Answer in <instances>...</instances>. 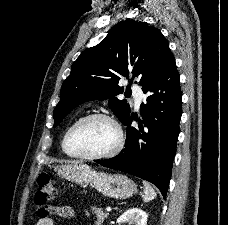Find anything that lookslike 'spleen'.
<instances>
[{
	"instance_id": "spleen-1",
	"label": "spleen",
	"mask_w": 228,
	"mask_h": 225,
	"mask_svg": "<svg viewBox=\"0 0 228 225\" xmlns=\"http://www.w3.org/2000/svg\"><path fill=\"white\" fill-rule=\"evenodd\" d=\"M144 185V195L142 197L144 203H149V201H153L155 197H157L154 189H152L151 185L147 183V181H143Z\"/></svg>"
}]
</instances>
